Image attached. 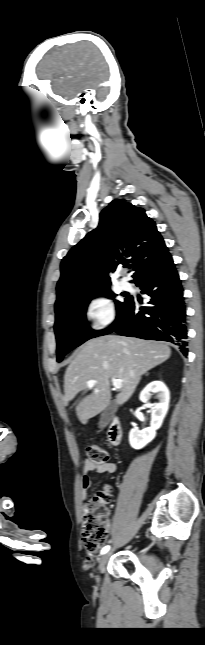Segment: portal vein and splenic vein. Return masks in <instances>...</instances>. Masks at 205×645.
<instances>
[{"label": "portal vein and splenic vein", "mask_w": 205, "mask_h": 645, "mask_svg": "<svg viewBox=\"0 0 205 645\" xmlns=\"http://www.w3.org/2000/svg\"><path fill=\"white\" fill-rule=\"evenodd\" d=\"M111 380H112V384H113L115 389H121L122 388V380L121 379H117V378L112 377ZM95 383H96V381L93 380V379L87 381V385L90 386V387L94 386Z\"/></svg>", "instance_id": "obj_1"}]
</instances>
